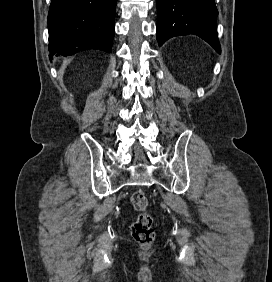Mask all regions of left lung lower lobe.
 Listing matches in <instances>:
<instances>
[{
  "instance_id": "1",
  "label": "left lung lower lobe",
  "mask_w": 272,
  "mask_h": 282,
  "mask_svg": "<svg viewBox=\"0 0 272 282\" xmlns=\"http://www.w3.org/2000/svg\"><path fill=\"white\" fill-rule=\"evenodd\" d=\"M157 12L156 36L160 46L171 37L196 34L221 53L214 0H157Z\"/></svg>"
}]
</instances>
